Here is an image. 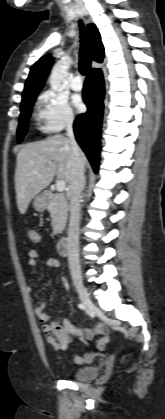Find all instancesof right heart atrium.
Masks as SVG:
<instances>
[{
	"label": "right heart atrium",
	"instance_id": "obj_1",
	"mask_svg": "<svg viewBox=\"0 0 165 419\" xmlns=\"http://www.w3.org/2000/svg\"><path fill=\"white\" fill-rule=\"evenodd\" d=\"M38 114L41 129L46 133H56L70 127L75 115L67 98L52 90L43 92L38 99Z\"/></svg>",
	"mask_w": 165,
	"mask_h": 419
}]
</instances>
